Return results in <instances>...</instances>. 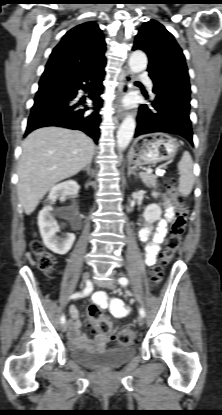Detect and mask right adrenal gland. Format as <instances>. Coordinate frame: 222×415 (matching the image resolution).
I'll use <instances>...</instances> for the list:
<instances>
[{"label": "right adrenal gland", "mask_w": 222, "mask_h": 415, "mask_svg": "<svg viewBox=\"0 0 222 415\" xmlns=\"http://www.w3.org/2000/svg\"><path fill=\"white\" fill-rule=\"evenodd\" d=\"M91 163H89L83 170H86L87 171V173L90 175V173H91Z\"/></svg>", "instance_id": "1"}]
</instances>
